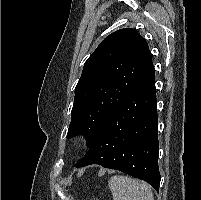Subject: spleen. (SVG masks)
<instances>
[{"label":"spleen","instance_id":"spleen-1","mask_svg":"<svg viewBox=\"0 0 201 200\" xmlns=\"http://www.w3.org/2000/svg\"><path fill=\"white\" fill-rule=\"evenodd\" d=\"M113 200H154L152 190L144 182L123 175H114L108 181Z\"/></svg>","mask_w":201,"mask_h":200}]
</instances>
